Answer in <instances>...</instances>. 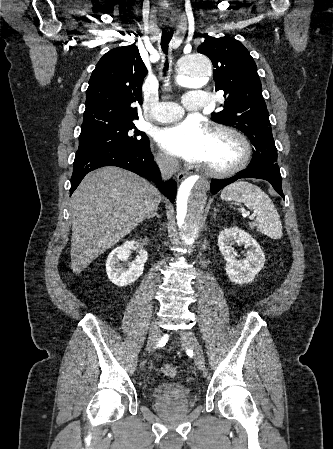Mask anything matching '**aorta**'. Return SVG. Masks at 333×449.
Here are the masks:
<instances>
[{
	"label": "aorta",
	"mask_w": 333,
	"mask_h": 449,
	"mask_svg": "<svg viewBox=\"0 0 333 449\" xmlns=\"http://www.w3.org/2000/svg\"><path fill=\"white\" fill-rule=\"evenodd\" d=\"M212 73L209 58L197 52L181 59L176 78L182 86L200 88L211 78ZM209 188V180L196 175L187 177L178 188L176 202L179 236L188 245H192L198 237Z\"/></svg>",
	"instance_id": "aorta-1"
}]
</instances>
